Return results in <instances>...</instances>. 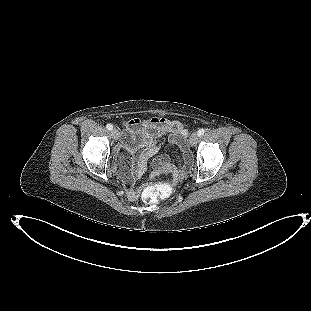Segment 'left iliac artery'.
I'll list each match as a JSON object with an SVG mask.
<instances>
[{
  "instance_id": "obj_1",
  "label": "left iliac artery",
  "mask_w": 311,
  "mask_h": 311,
  "mask_svg": "<svg viewBox=\"0 0 311 311\" xmlns=\"http://www.w3.org/2000/svg\"><path fill=\"white\" fill-rule=\"evenodd\" d=\"M205 133V129L201 128L198 130V135L201 136Z\"/></svg>"
}]
</instances>
